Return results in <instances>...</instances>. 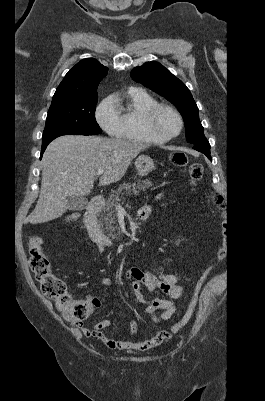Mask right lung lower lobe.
Instances as JSON below:
<instances>
[{
	"mask_svg": "<svg viewBox=\"0 0 265 401\" xmlns=\"http://www.w3.org/2000/svg\"><path fill=\"white\" fill-rule=\"evenodd\" d=\"M49 143H50V142H49ZM49 143H42V153L45 151V149H46V147H47V145H48ZM42 153H41V156H42Z\"/></svg>",
	"mask_w": 265,
	"mask_h": 401,
	"instance_id": "1",
	"label": "right lung lower lobe"
}]
</instances>
